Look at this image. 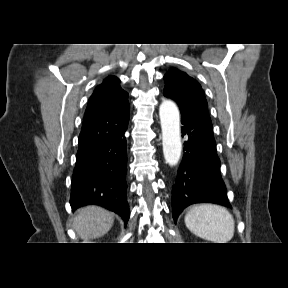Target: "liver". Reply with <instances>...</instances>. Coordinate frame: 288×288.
I'll use <instances>...</instances> for the list:
<instances>
[{"mask_svg":"<svg viewBox=\"0 0 288 288\" xmlns=\"http://www.w3.org/2000/svg\"><path fill=\"white\" fill-rule=\"evenodd\" d=\"M113 223V213L98 206H86L77 210L73 228L82 240L87 241L105 235Z\"/></svg>","mask_w":288,"mask_h":288,"instance_id":"liver-1","label":"liver"}]
</instances>
